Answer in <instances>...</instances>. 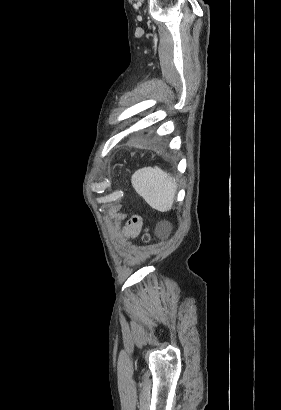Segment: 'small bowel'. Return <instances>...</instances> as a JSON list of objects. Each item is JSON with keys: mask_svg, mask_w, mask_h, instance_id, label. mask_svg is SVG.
I'll return each mask as SVG.
<instances>
[{"mask_svg": "<svg viewBox=\"0 0 281 410\" xmlns=\"http://www.w3.org/2000/svg\"><path fill=\"white\" fill-rule=\"evenodd\" d=\"M139 231L140 224L131 221L129 226L125 229V234L130 238H134L138 235Z\"/></svg>", "mask_w": 281, "mask_h": 410, "instance_id": "small-bowel-1", "label": "small bowel"}]
</instances>
